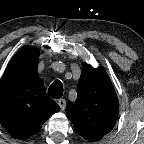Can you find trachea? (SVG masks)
Masks as SVG:
<instances>
[{"mask_svg": "<svg viewBox=\"0 0 144 144\" xmlns=\"http://www.w3.org/2000/svg\"><path fill=\"white\" fill-rule=\"evenodd\" d=\"M48 94L53 99L61 98L63 95V85H62L61 81H59V80L54 81L48 89Z\"/></svg>", "mask_w": 144, "mask_h": 144, "instance_id": "trachea-1", "label": "trachea"}]
</instances>
